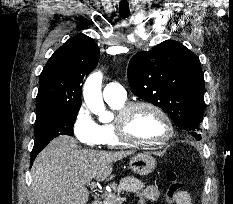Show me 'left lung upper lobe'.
<instances>
[{"label":"left lung upper lobe","mask_w":233,"mask_h":204,"mask_svg":"<svg viewBox=\"0 0 233 204\" xmlns=\"http://www.w3.org/2000/svg\"><path fill=\"white\" fill-rule=\"evenodd\" d=\"M128 80L135 95L160 107L177 127L201 140L205 82L194 53L177 41H164L132 57Z\"/></svg>","instance_id":"1"}]
</instances>
